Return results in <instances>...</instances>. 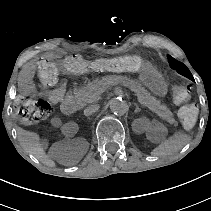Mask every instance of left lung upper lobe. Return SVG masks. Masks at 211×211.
<instances>
[{
	"mask_svg": "<svg viewBox=\"0 0 211 211\" xmlns=\"http://www.w3.org/2000/svg\"><path fill=\"white\" fill-rule=\"evenodd\" d=\"M167 58L169 60L170 67L172 69H175L179 74L187 77L188 79L194 80L190 70L187 68V66L185 64L177 61L176 59H174L170 55H167Z\"/></svg>",
	"mask_w": 211,
	"mask_h": 211,
	"instance_id": "obj_1",
	"label": "left lung upper lobe"
}]
</instances>
